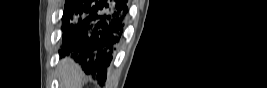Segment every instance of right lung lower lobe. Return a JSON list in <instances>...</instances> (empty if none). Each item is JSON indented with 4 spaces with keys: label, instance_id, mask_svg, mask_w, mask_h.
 Segmentation results:
<instances>
[{
    "label": "right lung lower lobe",
    "instance_id": "1",
    "mask_svg": "<svg viewBox=\"0 0 267 88\" xmlns=\"http://www.w3.org/2000/svg\"><path fill=\"white\" fill-rule=\"evenodd\" d=\"M63 15V52L86 74L106 80L128 13L127 0H73Z\"/></svg>",
    "mask_w": 267,
    "mask_h": 88
}]
</instances>
